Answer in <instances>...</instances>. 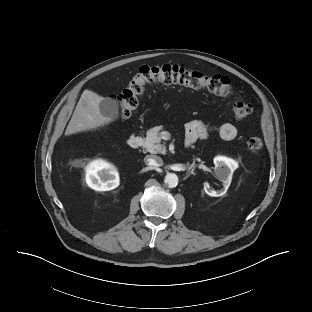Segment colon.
<instances>
[{
	"instance_id": "5ec220e1",
	"label": "colon",
	"mask_w": 312,
	"mask_h": 312,
	"mask_svg": "<svg viewBox=\"0 0 312 312\" xmlns=\"http://www.w3.org/2000/svg\"><path fill=\"white\" fill-rule=\"evenodd\" d=\"M172 84L179 83L195 88H204L209 92L228 97L232 94L233 86L230 79L222 75H208L198 70L189 69L179 64L144 65L132 77L129 84L116 97L119 114L128 117L138 107L140 97L150 83ZM251 113V105L237 101L232 106L234 120H246ZM251 152H259L263 147L260 137L252 136L246 140Z\"/></svg>"
}]
</instances>
